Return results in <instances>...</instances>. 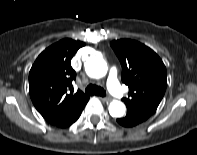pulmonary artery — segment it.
I'll list each match as a JSON object with an SVG mask.
<instances>
[{"label": "pulmonary artery", "instance_id": "obj_1", "mask_svg": "<svg viewBox=\"0 0 197 155\" xmlns=\"http://www.w3.org/2000/svg\"><path fill=\"white\" fill-rule=\"evenodd\" d=\"M108 89L117 97H123V91L120 87L119 80H118V73L116 68L112 67L109 70L108 80H107Z\"/></svg>", "mask_w": 197, "mask_h": 155}]
</instances>
